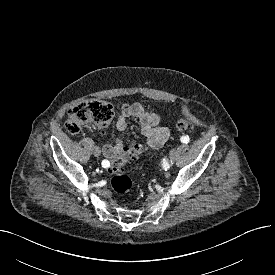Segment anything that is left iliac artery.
<instances>
[{
  "mask_svg": "<svg viewBox=\"0 0 275 275\" xmlns=\"http://www.w3.org/2000/svg\"><path fill=\"white\" fill-rule=\"evenodd\" d=\"M180 140L182 143L187 144L190 141V138L187 135H185V136H182Z\"/></svg>",
  "mask_w": 275,
  "mask_h": 275,
  "instance_id": "obj_1",
  "label": "left iliac artery"
}]
</instances>
